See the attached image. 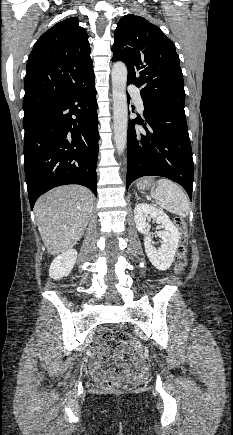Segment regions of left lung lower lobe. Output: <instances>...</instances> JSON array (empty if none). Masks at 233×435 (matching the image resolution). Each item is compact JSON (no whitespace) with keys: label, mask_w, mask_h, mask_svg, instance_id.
<instances>
[{"label":"left lung lower lobe","mask_w":233,"mask_h":435,"mask_svg":"<svg viewBox=\"0 0 233 435\" xmlns=\"http://www.w3.org/2000/svg\"><path fill=\"white\" fill-rule=\"evenodd\" d=\"M144 115L146 124L133 119L128 125L127 189L142 176H163L192 199L194 168L185 112L144 103ZM139 123L142 130L135 128Z\"/></svg>","instance_id":"left-lung-lower-lobe-1"}]
</instances>
